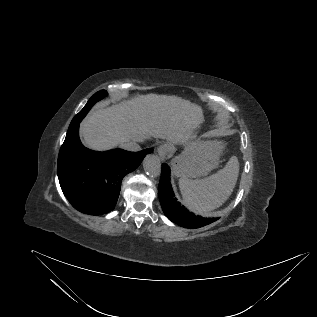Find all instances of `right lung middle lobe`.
<instances>
[{"label":"right lung middle lobe","instance_id":"1","mask_svg":"<svg viewBox=\"0 0 317 317\" xmlns=\"http://www.w3.org/2000/svg\"><path fill=\"white\" fill-rule=\"evenodd\" d=\"M107 95V92L105 90H101L99 92H97L96 94H94L89 101L87 102V104L84 106V108L73 118L69 129H71L74 124L78 121H81L85 115L88 113V111L90 110V108L100 99H102L103 97H105Z\"/></svg>","mask_w":317,"mask_h":317}]
</instances>
